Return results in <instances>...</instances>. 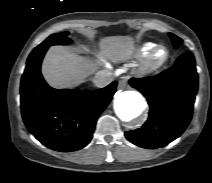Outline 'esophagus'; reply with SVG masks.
<instances>
[{"label": "esophagus", "instance_id": "1", "mask_svg": "<svg viewBox=\"0 0 212 183\" xmlns=\"http://www.w3.org/2000/svg\"><path fill=\"white\" fill-rule=\"evenodd\" d=\"M127 86V81L125 79L119 81L118 83V89L119 90H124Z\"/></svg>", "mask_w": 212, "mask_h": 183}]
</instances>
